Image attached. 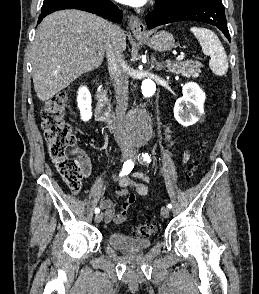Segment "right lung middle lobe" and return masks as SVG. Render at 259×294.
I'll use <instances>...</instances> for the list:
<instances>
[{
	"label": "right lung middle lobe",
	"mask_w": 259,
	"mask_h": 294,
	"mask_svg": "<svg viewBox=\"0 0 259 294\" xmlns=\"http://www.w3.org/2000/svg\"><path fill=\"white\" fill-rule=\"evenodd\" d=\"M56 0H44L43 2V6L42 7H45V6H48L50 4H52L53 2H55Z\"/></svg>",
	"instance_id": "dd1d6c3e"
}]
</instances>
